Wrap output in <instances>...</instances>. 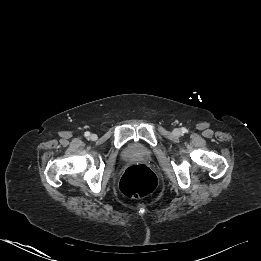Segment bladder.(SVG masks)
<instances>
[{"mask_svg": "<svg viewBox=\"0 0 261 261\" xmlns=\"http://www.w3.org/2000/svg\"><path fill=\"white\" fill-rule=\"evenodd\" d=\"M127 155L129 157H147L148 153L138 146H132L128 149Z\"/></svg>", "mask_w": 261, "mask_h": 261, "instance_id": "1", "label": "bladder"}]
</instances>
